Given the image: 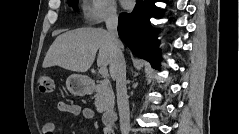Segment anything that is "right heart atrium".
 <instances>
[{
	"label": "right heart atrium",
	"mask_w": 239,
	"mask_h": 134,
	"mask_svg": "<svg viewBox=\"0 0 239 134\" xmlns=\"http://www.w3.org/2000/svg\"><path fill=\"white\" fill-rule=\"evenodd\" d=\"M84 18L91 24H100L117 17L113 0H87L83 5Z\"/></svg>",
	"instance_id": "1"
}]
</instances>
